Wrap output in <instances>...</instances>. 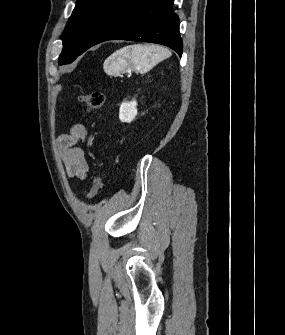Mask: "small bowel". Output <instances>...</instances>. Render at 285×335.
Segmentation results:
<instances>
[{"label": "small bowel", "instance_id": "obj_1", "mask_svg": "<svg viewBox=\"0 0 285 335\" xmlns=\"http://www.w3.org/2000/svg\"><path fill=\"white\" fill-rule=\"evenodd\" d=\"M88 129L83 123L75 124L70 131L58 139V148L66 169L71 178L84 179L88 172L85 153L81 147L76 146L79 140H85Z\"/></svg>", "mask_w": 285, "mask_h": 335}]
</instances>
